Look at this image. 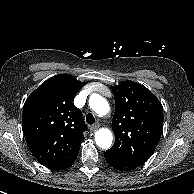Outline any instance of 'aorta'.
Instances as JSON below:
<instances>
[{"instance_id":"762f6f07","label":"aorta","mask_w":194,"mask_h":194,"mask_svg":"<svg viewBox=\"0 0 194 194\" xmlns=\"http://www.w3.org/2000/svg\"><path fill=\"white\" fill-rule=\"evenodd\" d=\"M89 105L100 116H104L109 112L107 100L98 94L90 97ZM112 140V132L107 128H101L95 133V142L102 149H109L112 145Z\"/></svg>"}]
</instances>
